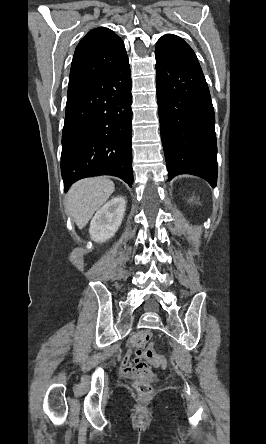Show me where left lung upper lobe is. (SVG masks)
<instances>
[{
	"instance_id": "1",
	"label": "left lung upper lobe",
	"mask_w": 266,
	"mask_h": 444,
	"mask_svg": "<svg viewBox=\"0 0 266 444\" xmlns=\"http://www.w3.org/2000/svg\"><path fill=\"white\" fill-rule=\"evenodd\" d=\"M155 56L179 66L201 68L192 48L176 35L162 36L157 41Z\"/></svg>"
}]
</instances>
